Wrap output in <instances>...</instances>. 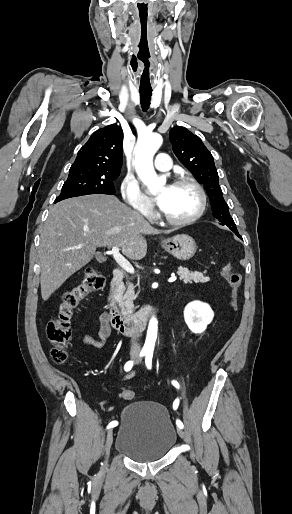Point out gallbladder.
<instances>
[{"label": "gallbladder", "instance_id": "gallbladder-1", "mask_svg": "<svg viewBox=\"0 0 292 514\" xmlns=\"http://www.w3.org/2000/svg\"><path fill=\"white\" fill-rule=\"evenodd\" d=\"M96 260H98V262H103L104 258L101 256V254H97Z\"/></svg>", "mask_w": 292, "mask_h": 514}]
</instances>
